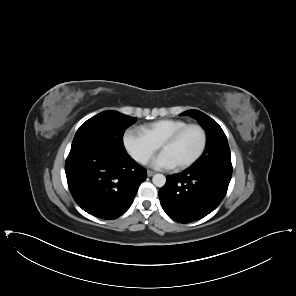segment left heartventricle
<instances>
[{
  "instance_id": "1",
  "label": "left heart ventricle",
  "mask_w": 296,
  "mask_h": 296,
  "mask_svg": "<svg viewBox=\"0 0 296 296\" xmlns=\"http://www.w3.org/2000/svg\"><path fill=\"white\" fill-rule=\"evenodd\" d=\"M202 135L198 129H189L176 143L169 146L164 153L175 163L184 162L195 155L200 148Z\"/></svg>"
}]
</instances>
